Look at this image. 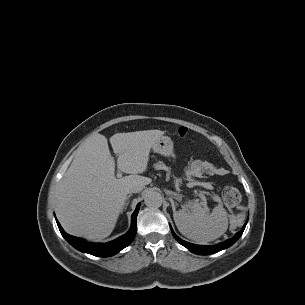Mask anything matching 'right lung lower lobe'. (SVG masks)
Wrapping results in <instances>:
<instances>
[{
	"label": "right lung lower lobe",
	"instance_id": "1",
	"mask_svg": "<svg viewBox=\"0 0 305 305\" xmlns=\"http://www.w3.org/2000/svg\"><path fill=\"white\" fill-rule=\"evenodd\" d=\"M139 207H140V204L137 205L134 213L132 214L131 227H130L129 231L126 234H124L123 236H121L113 241H110L108 243H89L81 238L71 236L62 229L57 218H56V222H57V225L59 227V230H60L62 236L74 248H76L77 250H79L81 252L89 253L94 256L108 257V256H113V255L117 254L118 252H120L122 249L127 247L135 238L136 231H137L136 217L138 214Z\"/></svg>",
	"mask_w": 305,
	"mask_h": 305
}]
</instances>
